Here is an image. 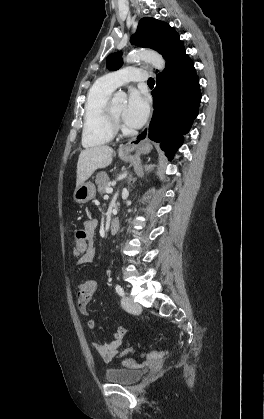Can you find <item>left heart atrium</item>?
Listing matches in <instances>:
<instances>
[{"label":"left heart atrium","mask_w":264,"mask_h":419,"mask_svg":"<svg viewBox=\"0 0 264 419\" xmlns=\"http://www.w3.org/2000/svg\"><path fill=\"white\" fill-rule=\"evenodd\" d=\"M149 114V101L146 94L138 89L129 92L128 102L123 117L127 124L139 127L144 124Z\"/></svg>","instance_id":"obj_1"}]
</instances>
